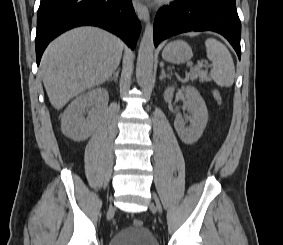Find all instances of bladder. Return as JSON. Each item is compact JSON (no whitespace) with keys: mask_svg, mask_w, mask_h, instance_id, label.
<instances>
[{"mask_svg":"<svg viewBox=\"0 0 283 245\" xmlns=\"http://www.w3.org/2000/svg\"><path fill=\"white\" fill-rule=\"evenodd\" d=\"M108 245H159L154 234L146 227H127L115 233Z\"/></svg>","mask_w":283,"mask_h":245,"instance_id":"1","label":"bladder"}]
</instances>
